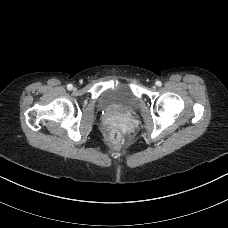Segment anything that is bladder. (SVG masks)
<instances>
[{
	"mask_svg": "<svg viewBox=\"0 0 228 228\" xmlns=\"http://www.w3.org/2000/svg\"><path fill=\"white\" fill-rule=\"evenodd\" d=\"M137 97L129 85L122 83L107 89L99 99V107L130 110L136 106Z\"/></svg>",
	"mask_w": 228,
	"mask_h": 228,
	"instance_id": "obj_1",
	"label": "bladder"
}]
</instances>
